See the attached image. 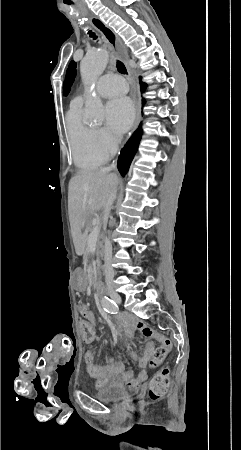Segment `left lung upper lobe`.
<instances>
[{
  "label": "left lung upper lobe",
  "mask_w": 241,
  "mask_h": 450,
  "mask_svg": "<svg viewBox=\"0 0 241 450\" xmlns=\"http://www.w3.org/2000/svg\"><path fill=\"white\" fill-rule=\"evenodd\" d=\"M75 76H76V63L74 61H71L69 64V68L67 69L66 79L63 85V91L65 96L68 95Z\"/></svg>",
  "instance_id": "5c2ea615"
}]
</instances>
